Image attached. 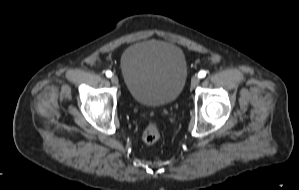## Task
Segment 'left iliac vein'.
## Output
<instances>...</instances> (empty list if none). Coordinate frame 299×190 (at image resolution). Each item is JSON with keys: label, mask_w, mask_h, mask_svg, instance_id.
<instances>
[{"label": "left iliac vein", "mask_w": 299, "mask_h": 190, "mask_svg": "<svg viewBox=\"0 0 299 190\" xmlns=\"http://www.w3.org/2000/svg\"><path fill=\"white\" fill-rule=\"evenodd\" d=\"M199 83V77L193 76L191 79V89H194Z\"/></svg>", "instance_id": "1"}]
</instances>
